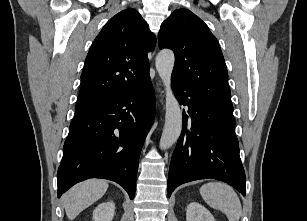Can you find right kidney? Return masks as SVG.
I'll return each instance as SVG.
<instances>
[{
  "label": "right kidney",
  "instance_id": "obj_1",
  "mask_svg": "<svg viewBox=\"0 0 307 221\" xmlns=\"http://www.w3.org/2000/svg\"><path fill=\"white\" fill-rule=\"evenodd\" d=\"M115 213L114 202L99 204L93 211V221H112Z\"/></svg>",
  "mask_w": 307,
  "mask_h": 221
}]
</instances>
